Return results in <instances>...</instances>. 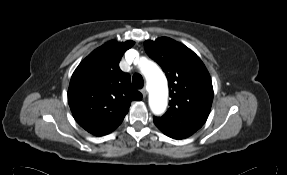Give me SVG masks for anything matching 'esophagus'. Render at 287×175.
I'll list each match as a JSON object with an SVG mask.
<instances>
[{
	"instance_id": "1",
	"label": "esophagus",
	"mask_w": 287,
	"mask_h": 175,
	"mask_svg": "<svg viewBox=\"0 0 287 175\" xmlns=\"http://www.w3.org/2000/svg\"><path fill=\"white\" fill-rule=\"evenodd\" d=\"M141 93H142L143 99H145L147 96V91L145 89H142Z\"/></svg>"
}]
</instances>
